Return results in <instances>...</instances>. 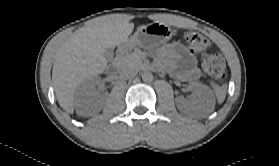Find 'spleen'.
Wrapping results in <instances>:
<instances>
[{
  "instance_id": "spleen-1",
  "label": "spleen",
  "mask_w": 279,
  "mask_h": 166,
  "mask_svg": "<svg viewBox=\"0 0 279 166\" xmlns=\"http://www.w3.org/2000/svg\"><path fill=\"white\" fill-rule=\"evenodd\" d=\"M214 90H215V95H216L218 103H222L226 97L227 86L226 85L216 86Z\"/></svg>"
}]
</instances>
